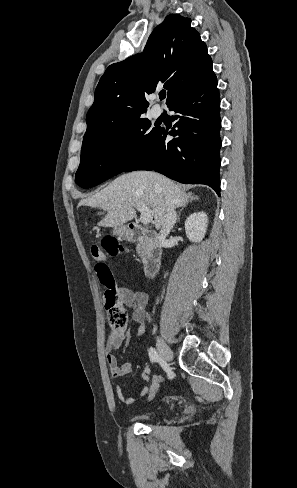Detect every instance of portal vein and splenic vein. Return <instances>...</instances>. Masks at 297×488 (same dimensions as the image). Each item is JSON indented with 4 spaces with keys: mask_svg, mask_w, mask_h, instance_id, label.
I'll use <instances>...</instances> for the list:
<instances>
[{
    "mask_svg": "<svg viewBox=\"0 0 297 488\" xmlns=\"http://www.w3.org/2000/svg\"><path fill=\"white\" fill-rule=\"evenodd\" d=\"M136 209L141 213L140 220L143 224H149L153 220V211L144 204H136Z\"/></svg>",
    "mask_w": 297,
    "mask_h": 488,
    "instance_id": "portal-vein-and-splenic-vein-1",
    "label": "portal vein and splenic vein"
}]
</instances>
